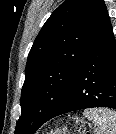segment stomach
Here are the masks:
<instances>
[{"instance_id":"stomach-1","label":"stomach","mask_w":116,"mask_h":134,"mask_svg":"<svg viewBox=\"0 0 116 134\" xmlns=\"http://www.w3.org/2000/svg\"><path fill=\"white\" fill-rule=\"evenodd\" d=\"M50 134H66V128L61 129H56L54 132L51 131Z\"/></svg>"}]
</instances>
